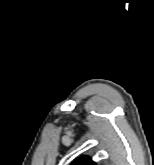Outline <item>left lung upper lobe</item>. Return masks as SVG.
Wrapping results in <instances>:
<instances>
[{
    "instance_id": "5c2ea615",
    "label": "left lung upper lobe",
    "mask_w": 154,
    "mask_h": 165,
    "mask_svg": "<svg viewBox=\"0 0 154 165\" xmlns=\"http://www.w3.org/2000/svg\"><path fill=\"white\" fill-rule=\"evenodd\" d=\"M72 165H95V163L88 157H81L75 160Z\"/></svg>"
}]
</instances>
